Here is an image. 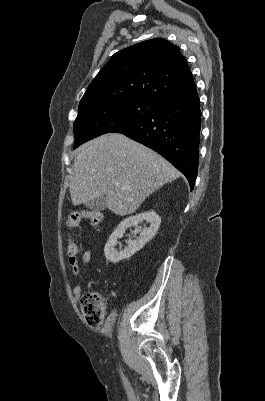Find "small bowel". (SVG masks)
Instances as JSON below:
<instances>
[{"instance_id": "obj_1", "label": "small bowel", "mask_w": 265, "mask_h": 401, "mask_svg": "<svg viewBox=\"0 0 265 401\" xmlns=\"http://www.w3.org/2000/svg\"><path fill=\"white\" fill-rule=\"evenodd\" d=\"M92 257L93 252L91 250L84 251L81 256V265L78 262V254L76 256H69L68 258V263L70 265L73 277L79 276L80 278L79 282L73 288V295L76 299L80 298L84 290L83 280L85 277V269L90 263Z\"/></svg>"}]
</instances>
